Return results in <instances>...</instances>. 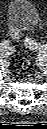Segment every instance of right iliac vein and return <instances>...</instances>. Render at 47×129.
I'll return each mask as SVG.
<instances>
[{
  "mask_svg": "<svg viewBox=\"0 0 47 129\" xmlns=\"http://www.w3.org/2000/svg\"><path fill=\"white\" fill-rule=\"evenodd\" d=\"M8 47H9V45H1V46H0V51H1V52H4L5 50L8 49Z\"/></svg>",
  "mask_w": 47,
  "mask_h": 129,
  "instance_id": "right-iliac-vein-1",
  "label": "right iliac vein"
}]
</instances>
